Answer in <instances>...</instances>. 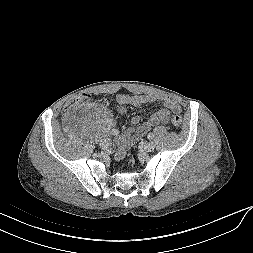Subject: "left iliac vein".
<instances>
[{
    "mask_svg": "<svg viewBox=\"0 0 253 253\" xmlns=\"http://www.w3.org/2000/svg\"><path fill=\"white\" fill-rule=\"evenodd\" d=\"M154 148H155V144H154L153 141H149V142H147V143L144 145V150H145L146 152H151V151L154 150Z\"/></svg>",
    "mask_w": 253,
    "mask_h": 253,
    "instance_id": "4c4485c4",
    "label": "left iliac vein"
}]
</instances>
